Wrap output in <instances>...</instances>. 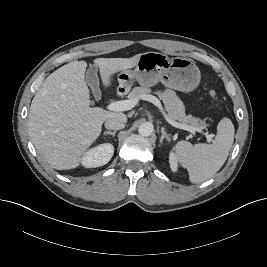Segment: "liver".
Wrapping results in <instances>:
<instances>
[{
	"instance_id": "6515ba94",
	"label": "liver",
	"mask_w": 267,
	"mask_h": 267,
	"mask_svg": "<svg viewBox=\"0 0 267 267\" xmlns=\"http://www.w3.org/2000/svg\"><path fill=\"white\" fill-rule=\"evenodd\" d=\"M132 58H98L104 87L112 76L136 66ZM86 63L70 62L51 73L35 94L29 111V136L39 154L57 170L79 166L85 151L99 137L109 118L126 121L123 113L90 107V92L85 82Z\"/></svg>"
}]
</instances>
